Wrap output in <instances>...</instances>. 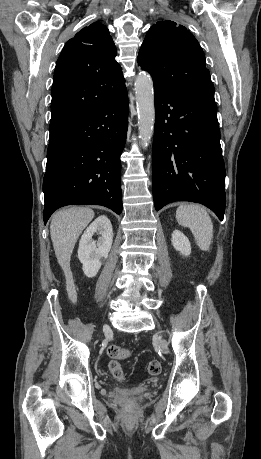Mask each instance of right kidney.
I'll use <instances>...</instances> for the list:
<instances>
[{"label": "right kidney", "instance_id": "obj_1", "mask_svg": "<svg viewBox=\"0 0 261 459\" xmlns=\"http://www.w3.org/2000/svg\"><path fill=\"white\" fill-rule=\"evenodd\" d=\"M96 232L101 235L98 241L92 240ZM112 242L111 222L107 216L101 215L87 227L79 242L78 258L87 277L92 278L97 275L101 265L108 258Z\"/></svg>", "mask_w": 261, "mask_h": 459}]
</instances>
